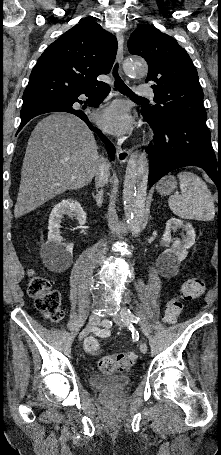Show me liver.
Returning <instances> with one entry per match:
<instances>
[{"instance_id": "1", "label": "liver", "mask_w": 221, "mask_h": 455, "mask_svg": "<svg viewBox=\"0 0 221 455\" xmlns=\"http://www.w3.org/2000/svg\"><path fill=\"white\" fill-rule=\"evenodd\" d=\"M97 149L93 133L78 117L55 113L42 119L28 140L14 216L88 185L105 162Z\"/></svg>"}]
</instances>
